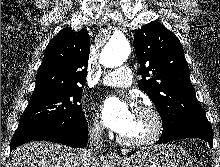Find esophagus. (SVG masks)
<instances>
[{"instance_id":"obj_1","label":"esophagus","mask_w":220,"mask_h":167,"mask_svg":"<svg viewBox=\"0 0 220 167\" xmlns=\"http://www.w3.org/2000/svg\"><path fill=\"white\" fill-rule=\"evenodd\" d=\"M108 157H109L110 159H112V160H116V159L119 158V155H118L117 153H115V152H110V153L108 154Z\"/></svg>"}]
</instances>
